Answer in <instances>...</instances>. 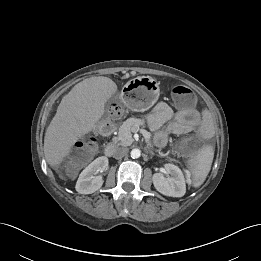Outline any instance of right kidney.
Instances as JSON below:
<instances>
[{"label":"right kidney","instance_id":"1","mask_svg":"<svg viewBox=\"0 0 261 261\" xmlns=\"http://www.w3.org/2000/svg\"><path fill=\"white\" fill-rule=\"evenodd\" d=\"M108 168V158L101 156L90 163L79 175L75 189L80 194H91L101 188L103 184L102 173Z\"/></svg>","mask_w":261,"mask_h":261}]
</instances>
